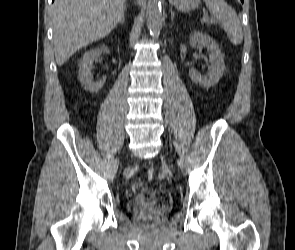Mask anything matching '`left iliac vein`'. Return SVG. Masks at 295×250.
Here are the masks:
<instances>
[{"mask_svg":"<svg viewBox=\"0 0 295 250\" xmlns=\"http://www.w3.org/2000/svg\"><path fill=\"white\" fill-rule=\"evenodd\" d=\"M165 170L170 173L168 166L165 164Z\"/></svg>","mask_w":295,"mask_h":250,"instance_id":"left-iliac-vein-1","label":"left iliac vein"}]
</instances>
